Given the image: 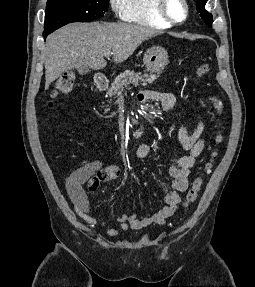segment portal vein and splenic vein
<instances>
[{
	"label": "portal vein and splenic vein",
	"instance_id": "portal-vein-and-splenic-vein-1",
	"mask_svg": "<svg viewBox=\"0 0 255 287\" xmlns=\"http://www.w3.org/2000/svg\"><path fill=\"white\" fill-rule=\"evenodd\" d=\"M112 52H107V54H105L106 58H109V56H111Z\"/></svg>",
	"mask_w": 255,
	"mask_h": 287
}]
</instances>
